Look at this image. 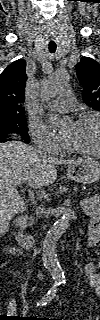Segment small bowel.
Masks as SVG:
<instances>
[{"instance_id":"obj_1","label":"small bowel","mask_w":100,"mask_h":320,"mask_svg":"<svg viewBox=\"0 0 100 320\" xmlns=\"http://www.w3.org/2000/svg\"><path fill=\"white\" fill-rule=\"evenodd\" d=\"M83 205L88 209H92L94 208L95 203L92 199H87L84 201ZM93 226L99 227L98 219L94 220V222L92 223L90 232ZM89 245L93 246L90 242H89ZM99 267L100 265H97L94 262L87 264L85 267V275L89 281L90 286L95 289L97 294L100 293V272L98 270Z\"/></svg>"}]
</instances>
